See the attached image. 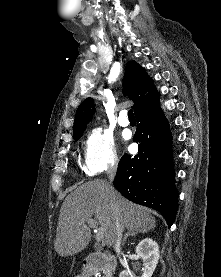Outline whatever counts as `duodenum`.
<instances>
[{"label":"duodenum","mask_w":221,"mask_h":277,"mask_svg":"<svg viewBox=\"0 0 221 277\" xmlns=\"http://www.w3.org/2000/svg\"><path fill=\"white\" fill-rule=\"evenodd\" d=\"M117 267L115 257L102 253H92L83 261V273L90 277L98 270H104L111 277L114 275Z\"/></svg>","instance_id":"obj_1"}]
</instances>
